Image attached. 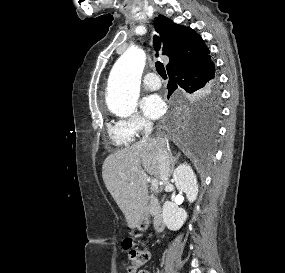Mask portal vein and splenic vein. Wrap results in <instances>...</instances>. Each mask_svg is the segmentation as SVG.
Masks as SVG:
<instances>
[{"label": "portal vein and splenic vein", "instance_id": "portal-vein-and-splenic-vein-1", "mask_svg": "<svg viewBox=\"0 0 285 273\" xmlns=\"http://www.w3.org/2000/svg\"><path fill=\"white\" fill-rule=\"evenodd\" d=\"M159 182L156 178H153L151 180V188L152 190H156L158 188Z\"/></svg>", "mask_w": 285, "mask_h": 273}]
</instances>
